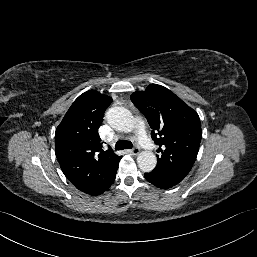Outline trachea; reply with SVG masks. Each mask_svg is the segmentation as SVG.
I'll return each instance as SVG.
<instances>
[{"instance_id": "obj_1", "label": "trachea", "mask_w": 257, "mask_h": 257, "mask_svg": "<svg viewBox=\"0 0 257 257\" xmlns=\"http://www.w3.org/2000/svg\"><path fill=\"white\" fill-rule=\"evenodd\" d=\"M132 147V142L128 140H119L115 145L116 150L132 149Z\"/></svg>"}]
</instances>
